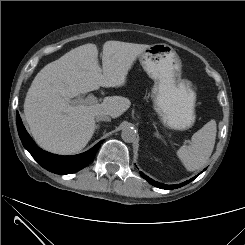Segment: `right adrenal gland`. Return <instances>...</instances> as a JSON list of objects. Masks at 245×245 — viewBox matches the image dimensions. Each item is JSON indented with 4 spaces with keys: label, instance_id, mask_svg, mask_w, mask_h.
I'll return each mask as SVG.
<instances>
[{
    "label": "right adrenal gland",
    "instance_id": "obj_1",
    "mask_svg": "<svg viewBox=\"0 0 245 245\" xmlns=\"http://www.w3.org/2000/svg\"><path fill=\"white\" fill-rule=\"evenodd\" d=\"M99 127H100V125H99V124H97V125H96V129H99Z\"/></svg>",
    "mask_w": 245,
    "mask_h": 245
}]
</instances>
